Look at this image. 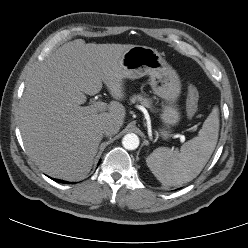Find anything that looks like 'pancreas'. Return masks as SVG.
<instances>
[{
	"label": "pancreas",
	"instance_id": "cf45deb5",
	"mask_svg": "<svg viewBox=\"0 0 248 248\" xmlns=\"http://www.w3.org/2000/svg\"><path fill=\"white\" fill-rule=\"evenodd\" d=\"M130 100L132 103L139 102L142 106L152 109L151 100L143 97L142 95H134Z\"/></svg>",
	"mask_w": 248,
	"mask_h": 248
}]
</instances>
